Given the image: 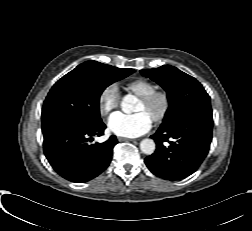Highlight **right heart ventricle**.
<instances>
[{"label": "right heart ventricle", "mask_w": 252, "mask_h": 231, "mask_svg": "<svg viewBox=\"0 0 252 231\" xmlns=\"http://www.w3.org/2000/svg\"><path fill=\"white\" fill-rule=\"evenodd\" d=\"M125 88L128 92L141 97L155 90L156 86L148 79L136 78L127 82Z\"/></svg>", "instance_id": "1"}]
</instances>
